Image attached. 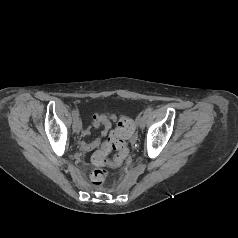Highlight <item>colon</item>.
I'll list each match as a JSON object with an SVG mask.
<instances>
[{
    "label": "colon",
    "mask_w": 238,
    "mask_h": 238,
    "mask_svg": "<svg viewBox=\"0 0 238 238\" xmlns=\"http://www.w3.org/2000/svg\"><path fill=\"white\" fill-rule=\"evenodd\" d=\"M134 131L135 125L132 120L125 117L120 119L115 130L111 132L106 146L102 147L101 150L92 156L93 164L98 167L91 173V181L93 184L101 185L105 181L107 171L102 168L103 166L106 165V167L111 170L120 167L121 162L128 153L125 140L128 139ZM111 149L117 151V154L114 158L111 157L107 159V154Z\"/></svg>",
    "instance_id": "obj_1"
}]
</instances>
